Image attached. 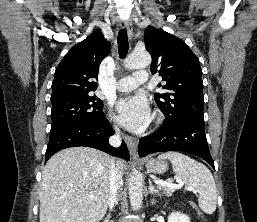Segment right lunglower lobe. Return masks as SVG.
I'll return each instance as SVG.
<instances>
[{
  "label": "right lung lower lobe",
  "mask_w": 257,
  "mask_h": 222,
  "mask_svg": "<svg viewBox=\"0 0 257 222\" xmlns=\"http://www.w3.org/2000/svg\"><path fill=\"white\" fill-rule=\"evenodd\" d=\"M112 134L114 130L106 117L99 123H69L51 129L45 161L62 149L76 146L96 148L112 156L129 160V152L125 143L120 148H114L108 143V138Z\"/></svg>",
  "instance_id": "98d812e1"
}]
</instances>
